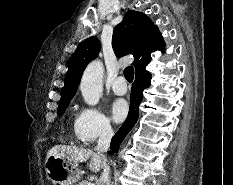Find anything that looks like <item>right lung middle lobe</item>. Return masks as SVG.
<instances>
[{
	"instance_id": "dd1d6c3e",
	"label": "right lung middle lobe",
	"mask_w": 233,
	"mask_h": 185,
	"mask_svg": "<svg viewBox=\"0 0 233 185\" xmlns=\"http://www.w3.org/2000/svg\"><path fill=\"white\" fill-rule=\"evenodd\" d=\"M69 102H70V101H63V102H60V105H59V107H58V115H59V116H61V115L65 112L66 108H67L68 105H69Z\"/></svg>"
}]
</instances>
